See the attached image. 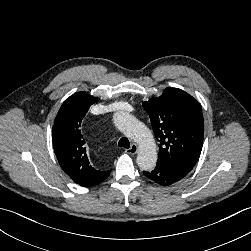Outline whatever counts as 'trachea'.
Returning <instances> with one entry per match:
<instances>
[{
  "label": "trachea",
  "instance_id": "trachea-1",
  "mask_svg": "<svg viewBox=\"0 0 251 251\" xmlns=\"http://www.w3.org/2000/svg\"><path fill=\"white\" fill-rule=\"evenodd\" d=\"M118 146L123 147V148H129L130 142L126 137H122L118 142Z\"/></svg>",
  "mask_w": 251,
  "mask_h": 251
}]
</instances>
